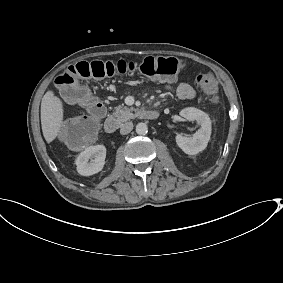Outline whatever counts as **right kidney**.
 <instances>
[{
    "mask_svg": "<svg viewBox=\"0 0 283 283\" xmlns=\"http://www.w3.org/2000/svg\"><path fill=\"white\" fill-rule=\"evenodd\" d=\"M106 153V147L102 144L87 147L75 159L76 172L83 177L100 172L105 165Z\"/></svg>",
    "mask_w": 283,
    "mask_h": 283,
    "instance_id": "1",
    "label": "right kidney"
}]
</instances>
